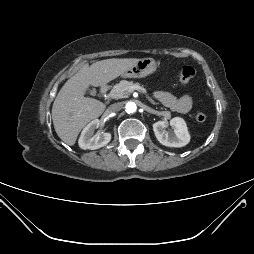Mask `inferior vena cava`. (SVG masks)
<instances>
[{
	"mask_svg": "<svg viewBox=\"0 0 254 254\" xmlns=\"http://www.w3.org/2000/svg\"><path fill=\"white\" fill-rule=\"evenodd\" d=\"M122 108V104L121 103H114L112 105H110L107 109V112L108 113H115V112H118L120 111Z\"/></svg>",
	"mask_w": 254,
	"mask_h": 254,
	"instance_id": "inferior-vena-cava-1",
	"label": "inferior vena cava"
}]
</instances>
